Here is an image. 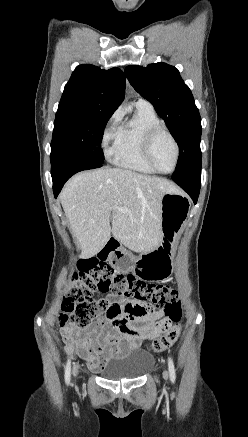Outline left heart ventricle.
<instances>
[{"mask_svg": "<svg viewBox=\"0 0 248 437\" xmlns=\"http://www.w3.org/2000/svg\"><path fill=\"white\" fill-rule=\"evenodd\" d=\"M152 155L157 167L165 172L173 168L175 160V148L171 139L165 135L160 134L153 145Z\"/></svg>", "mask_w": 248, "mask_h": 437, "instance_id": "1", "label": "left heart ventricle"}]
</instances>
